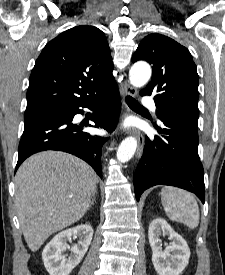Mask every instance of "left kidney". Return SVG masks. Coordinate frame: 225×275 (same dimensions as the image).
<instances>
[{
	"label": "left kidney",
	"mask_w": 225,
	"mask_h": 275,
	"mask_svg": "<svg viewBox=\"0 0 225 275\" xmlns=\"http://www.w3.org/2000/svg\"><path fill=\"white\" fill-rule=\"evenodd\" d=\"M161 234L168 235L172 240L165 250L161 247ZM148 238L153 266L158 275H180L190 258V249L186 241L162 218H156L151 222Z\"/></svg>",
	"instance_id": "1"
}]
</instances>
